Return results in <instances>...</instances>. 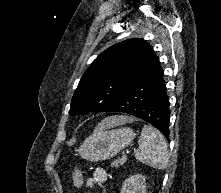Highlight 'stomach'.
<instances>
[{
  "mask_svg": "<svg viewBox=\"0 0 221 193\" xmlns=\"http://www.w3.org/2000/svg\"><path fill=\"white\" fill-rule=\"evenodd\" d=\"M135 135L129 127L112 130L97 127L80 146L78 153L83 159L91 162L107 160L130 145Z\"/></svg>",
  "mask_w": 221,
  "mask_h": 193,
  "instance_id": "stomach-1",
  "label": "stomach"
}]
</instances>
